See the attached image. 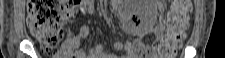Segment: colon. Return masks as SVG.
Segmentation results:
<instances>
[{
    "mask_svg": "<svg viewBox=\"0 0 225 58\" xmlns=\"http://www.w3.org/2000/svg\"><path fill=\"white\" fill-rule=\"evenodd\" d=\"M27 24L30 32L47 55L60 54L72 58L73 51L64 43V22L72 21L77 13L75 0H29ZM191 10L188 0H173L167 13L166 34L156 47L142 46L139 58H150L158 52L172 58L186 37L187 20Z\"/></svg>",
    "mask_w": 225,
    "mask_h": 58,
    "instance_id": "5ec220e1",
    "label": "colon"
}]
</instances>
